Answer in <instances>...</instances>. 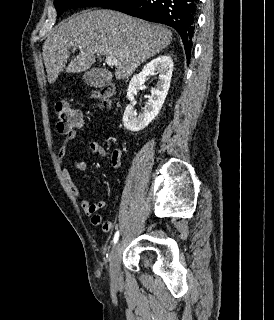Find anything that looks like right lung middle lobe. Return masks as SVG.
Instances as JSON below:
<instances>
[{"label":"right lung middle lobe","instance_id":"right-lung-middle-lobe-1","mask_svg":"<svg viewBox=\"0 0 274 320\" xmlns=\"http://www.w3.org/2000/svg\"><path fill=\"white\" fill-rule=\"evenodd\" d=\"M111 0H55V7L60 17L62 13L71 8L78 7H102Z\"/></svg>","mask_w":274,"mask_h":320}]
</instances>
